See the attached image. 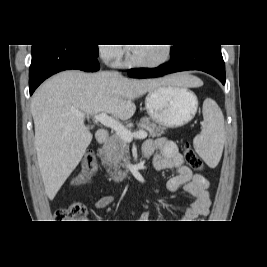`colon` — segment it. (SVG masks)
Masks as SVG:
<instances>
[{"instance_id": "colon-1", "label": "colon", "mask_w": 267, "mask_h": 267, "mask_svg": "<svg viewBox=\"0 0 267 267\" xmlns=\"http://www.w3.org/2000/svg\"><path fill=\"white\" fill-rule=\"evenodd\" d=\"M183 154L187 164L194 170H201L203 163L195 151L186 143L183 147ZM82 172L79 177L80 182L86 180L97 170V160L92 150H87L81 161ZM87 208L82 202H73L65 208L56 212V222L61 223H78L86 216Z\"/></svg>"}]
</instances>
